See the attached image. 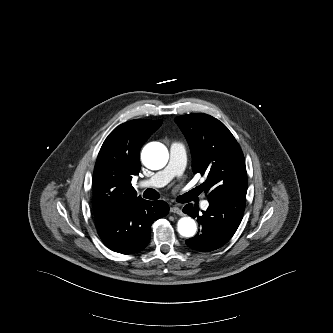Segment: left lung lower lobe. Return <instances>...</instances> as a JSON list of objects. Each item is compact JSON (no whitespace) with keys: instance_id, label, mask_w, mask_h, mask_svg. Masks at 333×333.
<instances>
[{"instance_id":"1","label":"left lung lower lobe","mask_w":333,"mask_h":333,"mask_svg":"<svg viewBox=\"0 0 333 333\" xmlns=\"http://www.w3.org/2000/svg\"><path fill=\"white\" fill-rule=\"evenodd\" d=\"M246 195L219 196L209 200L206 211L199 213L198 206L187 204L183 212L197 218L201 225L197 235L186 240L187 246L201 251L216 250L233 236L243 217Z\"/></svg>"}]
</instances>
